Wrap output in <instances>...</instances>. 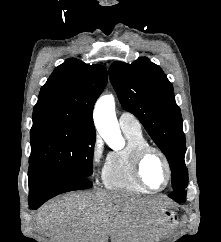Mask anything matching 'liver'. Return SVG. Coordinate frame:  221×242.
<instances>
[{
	"mask_svg": "<svg viewBox=\"0 0 221 242\" xmlns=\"http://www.w3.org/2000/svg\"><path fill=\"white\" fill-rule=\"evenodd\" d=\"M166 205L128 192H74L43 205L36 226L50 242H155Z\"/></svg>",
	"mask_w": 221,
	"mask_h": 242,
	"instance_id": "1",
	"label": "liver"
}]
</instances>
